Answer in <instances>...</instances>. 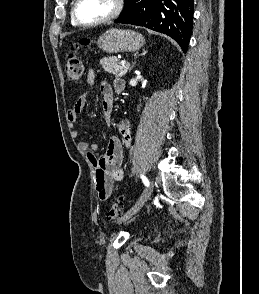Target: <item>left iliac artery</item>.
<instances>
[{
  "instance_id": "44dca946",
  "label": "left iliac artery",
  "mask_w": 259,
  "mask_h": 294,
  "mask_svg": "<svg viewBox=\"0 0 259 294\" xmlns=\"http://www.w3.org/2000/svg\"><path fill=\"white\" fill-rule=\"evenodd\" d=\"M141 179L143 181V183L145 184V186H149V180L143 175L141 174Z\"/></svg>"
}]
</instances>
